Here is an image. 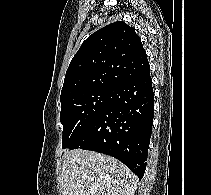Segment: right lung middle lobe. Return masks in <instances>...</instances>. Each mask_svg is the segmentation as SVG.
I'll use <instances>...</instances> for the list:
<instances>
[{
	"label": "right lung middle lobe",
	"mask_w": 211,
	"mask_h": 195,
	"mask_svg": "<svg viewBox=\"0 0 211 195\" xmlns=\"http://www.w3.org/2000/svg\"><path fill=\"white\" fill-rule=\"evenodd\" d=\"M110 89L96 88L61 101L62 148H70L99 116L108 103Z\"/></svg>",
	"instance_id": "right-lung-middle-lobe-1"
}]
</instances>
